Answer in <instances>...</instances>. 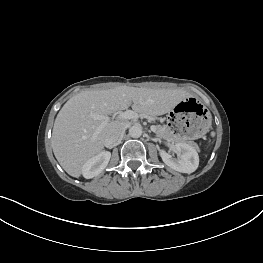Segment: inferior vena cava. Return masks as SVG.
<instances>
[{"label": "inferior vena cava", "instance_id": "obj_1", "mask_svg": "<svg viewBox=\"0 0 263 263\" xmlns=\"http://www.w3.org/2000/svg\"><path fill=\"white\" fill-rule=\"evenodd\" d=\"M122 133H123V129L117 128V129L112 130L108 134V136L105 140V144L111 145V144L116 143L120 139V137L122 136Z\"/></svg>", "mask_w": 263, "mask_h": 263}]
</instances>
